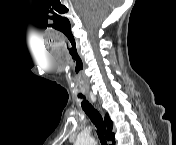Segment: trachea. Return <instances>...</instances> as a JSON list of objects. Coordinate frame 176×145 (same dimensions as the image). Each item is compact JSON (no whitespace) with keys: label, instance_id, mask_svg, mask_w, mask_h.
Returning a JSON list of instances; mask_svg holds the SVG:
<instances>
[{"label":"trachea","instance_id":"3493384b","mask_svg":"<svg viewBox=\"0 0 176 145\" xmlns=\"http://www.w3.org/2000/svg\"><path fill=\"white\" fill-rule=\"evenodd\" d=\"M78 97L84 99L81 103L82 108L90 120L93 122V124L96 126L101 145H108L104 136V134L106 135V125L101 114L87 100H85L84 96L79 95Z\"/></svg>","mask_w":176,"mask_h":145}]
</instances>
